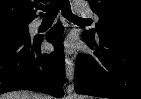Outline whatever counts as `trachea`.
Here are the masks:
<instances>
[{
	"label": "trachea",
	"mask_w": 141,
	"mask_h": 99,
	"mask_svg": "<svg viewBox=\"0 0 141 99\" xmlns=\"http://www.w3.org/2000/svg\"><path fill=\"white\" fill-rule=\"evenodd\" d=\"M39 9L45 12L44 20L48 21H53L59 10L62 11L63 16L69 21L77 23H86L89 21L87 19L79 18L72 13L69 0H52L49 4L39 7Z\"/></svg>",
	"instance_id": "3493384b"
}]
</instances>
